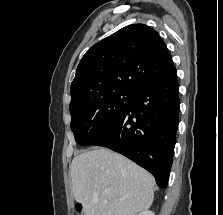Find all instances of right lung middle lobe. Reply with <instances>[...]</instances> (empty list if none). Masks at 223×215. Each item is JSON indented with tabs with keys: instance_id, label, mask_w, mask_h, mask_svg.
<instances>
[{
	"instance_id": "dd1d6c3e",
	"label": "right lung middle lobe",
	"mask_w": 223,
	"mask_h": 215,
	"mask_svg": "<svg viewBox=\"0 0 223 215\" xmlns=\"http://www.w3.org/2000/svg\"><path fill=\"white\" fill-rule=\"evenodd\" d=\"M135 93L118 90L70 109L71 129L79 145H91L123 116Z\"/></svg>"
}]
</instances>
